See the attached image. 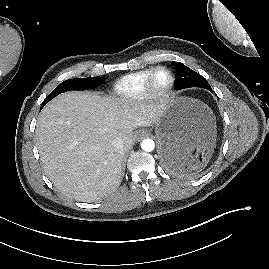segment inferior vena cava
Masks as SVG:
<instances>
[{"label":"inferior vena cava","instance_id":"obj_1","mask_svg":"<svg viewBox=\"0 0 269 269\" xmlns=\"http://www.w3.org/2000/svg\"><path fill=\"white\" fill-rule=\"evenodd\" d=\"M112 146L116 149L122 150L124 148V142L121 138H116L113 140Z\"/></svg>","mask_w":269,"mask_h":269}]
</instances>
